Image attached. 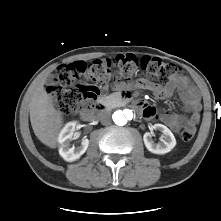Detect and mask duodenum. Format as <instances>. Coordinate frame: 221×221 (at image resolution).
I'll return each instance as SVG.
<instances>
[{
    "mask_svg": "<svg viewBox=\"0 0 221 221\" xmlns=\"http://www.w3.org/2000/svg\"><path fill=\"white\" fill-rule=\"evenodd\" d=\"M118 97L120 101L129 102L133 106L138 107V108H141L142 104L144 103L142 101H132L129 98L128 93H120ZM104 109H105V106L102 103L95 101L89 107L83 109L80 115L83 120H93L96 116V112L102 111Z\"/></svg>",
    "mask_w": 221,
    "mask_h": 221,
    "instance_id": "1",
    "label": "duodenum"
}]
</instances>
